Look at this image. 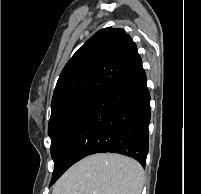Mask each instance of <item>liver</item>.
I'll use <instances>...</instances> for the list:
<instances>
[{
  "label": "liver",
  "instance_id": "6515ba94",
  "mask_svg": "<svg viewBox=\"0 0 201 194\" xmlns=\"http://www.w3.org/2000/svg\"><path fill=\"white\" fill-rule=\"evenodd\" d=\"M142 166L129 157L99 153L69 168L56 182L52 194H141Z\"/></svg>",
  "mask_w": 201,
  "mask_h": 194
}]
</instances>
